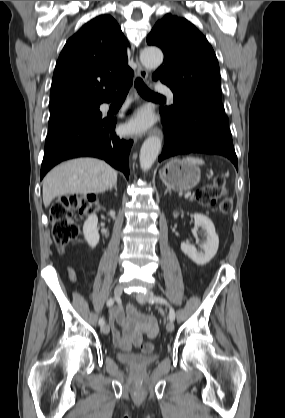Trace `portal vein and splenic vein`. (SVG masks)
Here are the masks:
<instances>
[{
	"label": "portal vein and splenic vein",
	"mask_w": 285,
	"mask_h": 418,
	"mask_svg": "<svg viewBox=\"0 0 285 418\" xmlns=\"http://www.w3.org/2000/svg\"><path fill=\"white\" fill-rule=\"evenodd\" d=\"M190 196H191V192L190 191L185 194V198H189Z\"/></svg>",
	"instance_id": "obj_1"
}]
</instances>
